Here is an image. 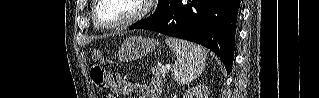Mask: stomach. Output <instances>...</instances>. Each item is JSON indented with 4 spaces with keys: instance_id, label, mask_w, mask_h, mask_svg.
Listing matches in <instances>:
<instances>
[{
    "instance_id": "stomach-1",
    "label": "stomach",
    "mask_w": 319,
    "mask_h": 98,
    "mask_svg": "<svg viewBox=\"0 0 319 98\" xmlns=\"http://www.w3.org/2000/svg\"><path fill=\"white\" fill-rule=\"evenodd\" d=\"M158 42L153 38L132 36L127 38L118 51L120 61H134L155 51Z\"/></svg>"
}]
</instances>
